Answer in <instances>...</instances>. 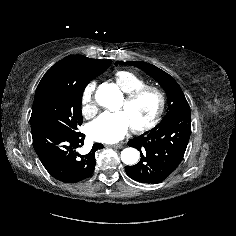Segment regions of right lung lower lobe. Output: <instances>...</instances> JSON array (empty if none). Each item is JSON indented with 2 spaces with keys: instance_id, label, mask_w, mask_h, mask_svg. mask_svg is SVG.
<instances>
[{
  "instance_id": "98d812e1",
  "label": "right lung lower lobe",
  "mask_w": 236,
  "mask_h": 236,
  "mask_svg": "<svg viewBox=\"0 0 236 236\" xmlns=\"http://www.w3.org/2000/svg\"><path fill=\"white\" fill-rule=\"evenodd\" d=\"M34 149L48 173L64 183H76L88 178L95 168V152L103 148L95 143L86 155L76 148L84 142V134L71 135L45 126L31 127Z\"/></svg>"
}]
</instances>
